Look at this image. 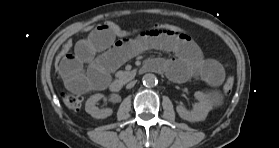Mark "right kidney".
<instances>
[{
    "instance_id": "obj_1",
    "label": "right kidney",
    "mask_w": 279,
    "mask_h": 148,
    "mask_svg": "<svg viewBox=\"0 0 279 148\" xmlns=\"http://www.w3.org/2000/svg\"><path fill=\"white\" fill-rule=\"evenodd\" d=\"M104 96L100 93L92 95L85 103V111L96 119H104L112 115V109H99L96 103Z\"/></svg>"
}]
</instances>
